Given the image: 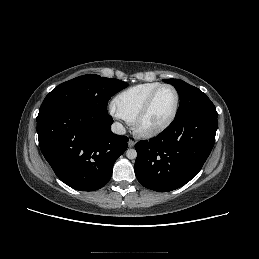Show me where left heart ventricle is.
Instances as JSON below:
<instances>
[{"mask_svg": "<svg viewBox=\"0 0 259 259\" xmlns=\"http://www.w3.org/2000/svg\"><path fill=\"white\" fill-rule=\"evenodd\" d=\"M175 104V94L170 88L161 89L154 98L151 109L143 122L145 128H153L163 123L171 114Z\"/></svg>", "mask_w": 259, "mask_h": 259, "instance_id": "obj_1", "label": "left heart ventricle"}]
</instances>
